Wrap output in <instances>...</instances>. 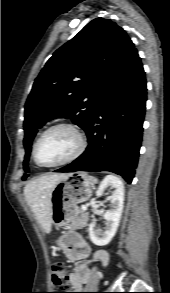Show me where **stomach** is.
Returning <instances> with one entry per match:
<instances>
[{
	"label": "stomach",
	"mask_w": 170,
	"mask_h": 293,
	"mask_svg": "<svg viewBox=\"0 0 170 293\" xmlns=\"http://www.w3.org/2000/svg\"><path fill=\"white\" fill-rule=\"evenodd\" d=\"M91 195L92 182L86 173L67 174L52 189V223L56 226L69 225L80 213L78 204L87 201Z\"/></svg>",
	"instance_id": "1"
}]
</instances>
